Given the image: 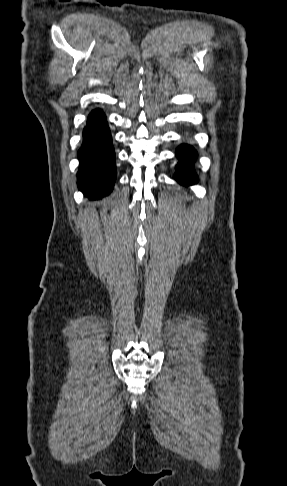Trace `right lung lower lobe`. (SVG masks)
Returning <instances> with one entry per match:
<instances>
[{
    "instance_id": "1",
    "label": "right lung lower lobe",
    "mask_w": 287,
    "mask_h": 486,
    "mask_svg": "<svg viewBox=\"0 0 287 486\" xmlns=\"http://www.w3.org/2000/svg\"><path fill=\"white\" fill-rule=\"evenodd\" d=\"M83 138L78 152V187L88 198L95 200L108 195L116 180L111 133L101 110L90 113Z\"/></svg>"
}]
</instances>
